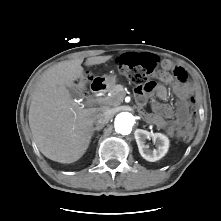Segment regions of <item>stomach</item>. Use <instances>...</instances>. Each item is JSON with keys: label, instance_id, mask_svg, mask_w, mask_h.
<instances>
[{"label": "stomach", "instance_id": "1", "mask_svg": "<svg viewBox=\"0 0 221 221\" xmlns=\"http://www.w3.org/2000/svg\"><path fill=\"white\" fill-rule=\"evenodd\" d=\"M105 80H106V83L109 87H113L116 83V77L115 76H109Z\"/></svg>", "mask_w": 221, "mask_h": 221}]
</instances>
